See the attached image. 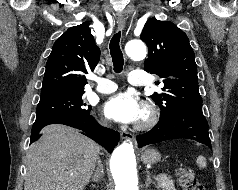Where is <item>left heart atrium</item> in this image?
<instances>
[{
  "mask_svg": "<svg viewBox=\"0 0 238 190\" xmlns=\"http://www.w3.org/2000/svg\"><path fill=\"white\" fill-rule=\"evenodd\" d=\"M105 115L120 123H132L139 119L141 106L137 98L122 92L110 97L104 105Z\"/></svg>",
  "mask_w": 238,
  "mask_h": 190,
  "instance_id": "39dd6f15",
  "label": "left heart atrium"
}]
</instances>
